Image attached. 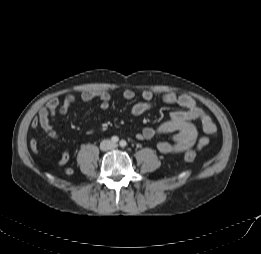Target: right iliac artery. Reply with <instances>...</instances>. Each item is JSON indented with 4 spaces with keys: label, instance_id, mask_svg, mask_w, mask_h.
I'll list each match as a JSON object with an SVG mask.
<instances>
[{
    "label": "right iliac artery",
    "instance_id": "obj_1",
    "mask_svg": "<svg viewBox=\"0 0 261 254\" xmlns=\"http://www.w3.org/2000/svg\"><path fill=\"white\" fill-rule=\"evenodd\" d=\"M111 141H112L113 143H117V142L119 141V138H118L117 136H113V137L111 138Z\"/></svg>",
    "mask_w": 261,
    "mask_h": 254
}]
</instances>
